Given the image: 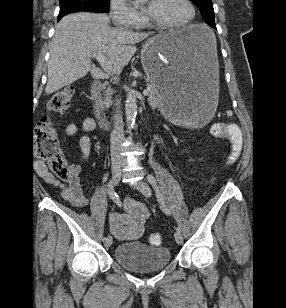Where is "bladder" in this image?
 Returning <instances> with one entry per match:
<instances>
[{
  "mask_svg": "<svg viewBox=\"0 0 286 308\" xmlns=\"http://www.w3.org/2000/svg\"><path fill=\"white\" fill-rule=\"evenodd\" d=\"M114 260L127 270L147 273L165 268L171 260L167 247H149L143 242L118 244L113 252Z\"/></svg>",
  "mask_w": 286,
  "mask_h": 308,
  "instance_id": "obj_1",
  "label": "bladder"
}]
</instances>
